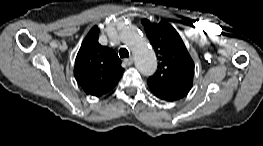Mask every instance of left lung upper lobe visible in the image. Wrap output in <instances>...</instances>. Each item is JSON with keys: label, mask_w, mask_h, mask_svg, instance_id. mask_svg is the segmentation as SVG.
I'll return each instance as SVG.
<instances>
[{"label": "left lung upper lobe", "mask_w": 263, "mask_h": 146, "mask_svg": "<svg viewBox=\"0 0 263 146\" xmlns=\"http://www.w3.org/2000/svg\"><path fill=\"white\" fill-rule=\"evenodd\" d=\"M142 23L159 61L156 73L147 81L151 92L166 101L183 98L193 84L194 62L180 35L166 22Z\"/></svg>", "instance_id": "obj_1"}]
</instances>
